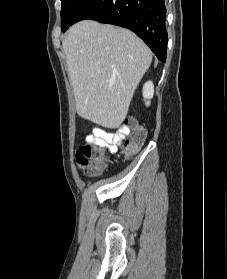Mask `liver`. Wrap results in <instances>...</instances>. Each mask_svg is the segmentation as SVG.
I'll use <instances>...</instances> for the list:
<instances>
[{
	"label": "liver",
	"instance_id": "1",
	"mask_svg": "<svg viewBox=\"0 0 227 279\" xmlns=\"http://www.w3.org/2000/svg\"><path fill=\"white\" fill-rule=\"evenodd\" d=\"M78 115L106 128L127 116L152 53L133 32L97 21L74 24L62 41Z\"/></svg>",
	"mask_w": 227,
	"mask_h": 279
}]
</instances>
